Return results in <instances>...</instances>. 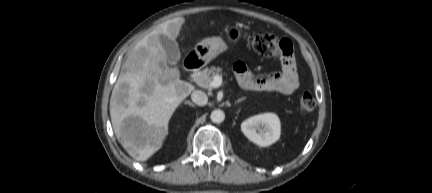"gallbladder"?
Segmentation results:
<instances>
[{
	"label": "gallbladder",
	"mask_w": 432,
	"mask_h": 193,
	"mask_svg": "<svg viewBox=\"0 0 432 193\" xmlns=\"http://www.w3.org/2000/svg\"><path fill=\"white\" fill-rule=\"evenodd\" d=\"M159 40L162 44L163 49L167 54V62L170 65H175L180 60L179 46L176 40L170 39L167 36L160 34Z\"/></svg>",
	"instance_id": "1"
}]
</instances>
